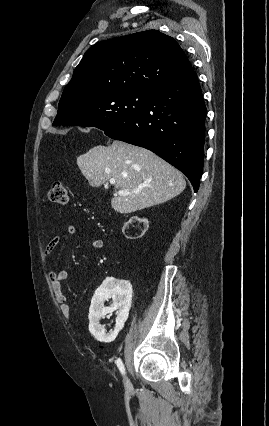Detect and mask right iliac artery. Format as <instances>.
I'll list each match as a JSON object with an SVG mask.
<instances>
[{
  "label": "right iliac artery",
  "mask_w": 269,
  "mask_h": 426,
  "mask_svg": "<svg viewBox=\"0 0 269 426\" xmlns=\"http://www.w3.org/2000/svg\"><path fill=\"white\" fill-rule=\"evenodd\" d=\"M116 364H117V367L119 368L120 372L122 374H125V368H124L123 362H122V360L120 358H118L116 360Z\"/></svg>",
  "instance_id": "right-iliac-artery-1"
}]
</instances>
